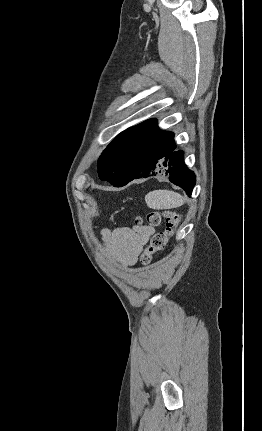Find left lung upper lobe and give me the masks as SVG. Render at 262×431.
I'll list each match as a JSON object with an SVG mask.
<instances>
[{
	"mask_svg": "<svg viewBox=\"0 0 262 431\" xmlns=\"http://www.w3.org/2000/svg\"><path fill=\"white\" fill-rule=\"evenodd\" d=\"M156 119H149L128 128L115 137L107 146L98 161V173L115 187L127 183L131 176V162L142 146L151 143L157 135H163L156 126Z\"/></svg>",
	"mask_w": 262,
	"mask_h": 431,
	"instance_id": "1",
	"label": "left lung upper lobe"
}]
</instances>
